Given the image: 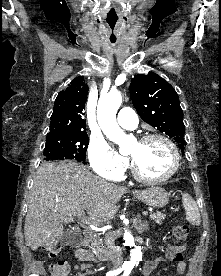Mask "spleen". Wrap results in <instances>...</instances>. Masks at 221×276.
<instances>
[{
    "label": "spleen",
    "mask_w": 221,
    "mask_h": 276,
    "mask_svg": "<svg viewBox=\"0 0 221 276\" xmlns=\"http://www.w3.org/2000/svg\"><path fill=\"white\" fill-rule=\"evenodd\" d=\"M183 207L186 212L187 221L194 226L200 225V213L195 200L188 194L182 196Z\"/></svg>",
    "instance_id": "spleen-1"
}]
</instances>
